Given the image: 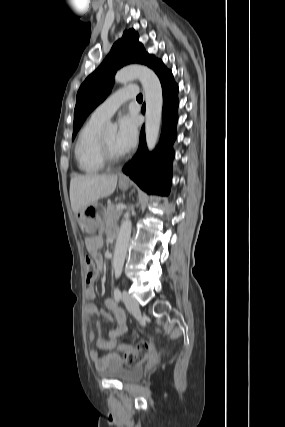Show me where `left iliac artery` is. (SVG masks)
<instances>
[{
    "mask_svg": "<svg viewBox=\"0 0 285 427\" xmlns=\"http://www.w3.org/2000/svg\"><path fill=\"white\" fill-rule=\"evenodd\" d=\"M121 272H122V269H121V268H116V269H115V277H116V278H119V277H120V275H121ZM114 296H115V298H116L117 300H120V299L122 298V294H121V291H120V289H119V288H116V289L114 290Z\"/></svg>",
    "mask_w": 285,
    "mask_h": 427,
    "instance_id": "1",
    "label": "left iliac artery"
}]
</instances>
